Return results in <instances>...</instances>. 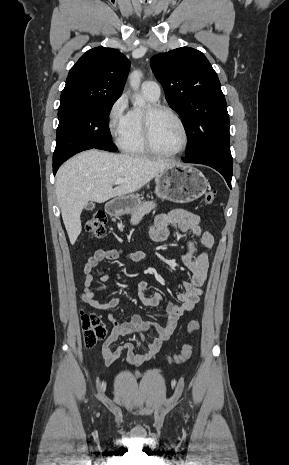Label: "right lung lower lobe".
Here are the masks:
<instances>
[{"mask_svg": "<svg viewBox=\"0 0 289 465\" xmlns=\"http://www.w3.org/2000/svg\"><path fill=\"white\" fill-rule=\"evenodd\" d=\"M66 160H62V161H58V162H53V174L55 175L58 168L61 166V164L63 162H65Z\"/></svg>", "mask_w": 289, "mask_h": 465, "instance_id": "obj_1", "label": "right lung lower lobe"}]
</instances>
